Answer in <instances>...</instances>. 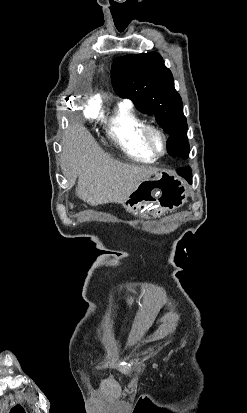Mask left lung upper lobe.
Here are the masks:
<instances>
[{"mask_svg": "<svg viewBox=\"0 0 247 413\" xmlns=\"http://www.w3.org/2000/svg\"><path fill=\"white\" fill-rule=\"evenodd\" d=\"M111 79L117 95L131 99L140 111L153 115L170 134L168 153L188 158V127L182 100L162 57L156 52L120 57L112 64Z\"/></svg>", "mask_w": 247, "mask_h": 413, "instance_id": "obj_1", "label": "left lung upper lobe"}]
</instances>
